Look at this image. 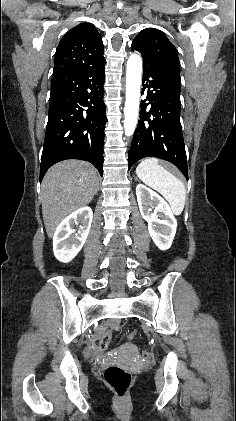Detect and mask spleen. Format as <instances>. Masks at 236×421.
Masks as SVG:
<instances>
[{"label":"spleen","instance_id":"3e777b00","mask_svg":"<svg viewBox=\"0 0 236 421\" xmlns=\"http://www.w3.org/2000/svg\"><path fill=\"white\" fill-rule=\"evenodd\" d=\"M136 174L168 200L173 215H181L185 206L186 188L184 182L159 164L157 158H143L136 168Z\"/></svg>","mask_w":236,"mask_h":421}]
</instances>
